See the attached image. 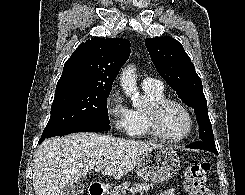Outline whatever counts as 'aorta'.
<instances>
[{
	"label": "aorta",
	"mask_w": 245,
	"mask_h": 195,
	"mask_svg": "<svg viewBox=\"0 0 245 195\" xmlns=\"http://www.w3.org/2000/svg\"><path fill=\"white\" fill-rule=\"evenodd\" d=\"M121 86L126 96L130 97L134 107H139L142 101L137 88V80L135 75V67L128 65L122 71L120 77Z\"/></svg>",
	"instance_id": "1"
}]
</instances>
